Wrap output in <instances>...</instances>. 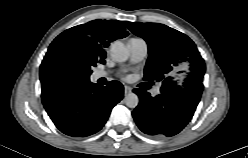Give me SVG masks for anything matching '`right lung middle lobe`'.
Masks as SVG:
<instances>
[{
	"label": "right lung middle lobe",
	"instance_id": "dd1d6c3e",
	"mask_svg": "<svg viewBox=\"0 0 248 158\" xmlns=\"http://www.w3.org/2000/svg\"><path fill=\"white\" fill-rule=\"evenodd\" d=\"M88 55L71 46L59 47L52 59L53 72L61 78H71L79 73L88 77L92 73L91 67L96 66Z\"/></svg>",
	"mask_w": 248,
	"mask_h": 158
}]
</instances>
